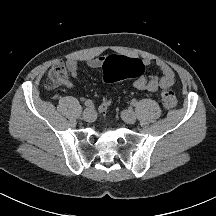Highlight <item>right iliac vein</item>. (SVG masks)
Returning <instances> with one entry per match:
<instances>
[{
	"label": "right iliac vein",
	"mask_w": 216,
	"mask_h": 216,
	"mask_svg": "<svg viewBox=\"0 0 216 216\" xmlns=\"http://www.w3.org/2000/svg\"><path fill=\"white\" fill-rule=\"evenodd\" d=\"M82 117L85 121H88V122H91V121H94L95 118H96V113L93 109H85L83 114H82Z\"/></svg>",
	"instance_id": "1"
}]
</instances>
